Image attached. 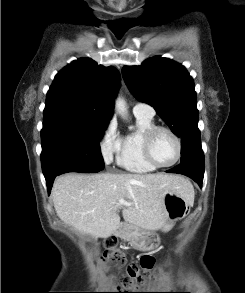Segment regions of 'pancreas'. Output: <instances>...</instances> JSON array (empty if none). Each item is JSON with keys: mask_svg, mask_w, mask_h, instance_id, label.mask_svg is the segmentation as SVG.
I'll return each instance as SVG.
<instances>
[{"mask_svg": "<svg viewBox=\"0 0 245 293\" xmlns=\"http://www.w3.org/2000/svg\"><path fill=\"white\" fill-rule=\"evenodd\" d=\"M131 229H133V228H131L129 226H127L126 228H124V230H131Z\"/></svg>", "mask_w": 245, "mask_h": 293, "instance_id": "obj_1", "label": "pancreas"}]
</instances>
